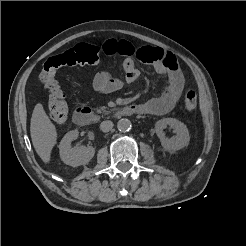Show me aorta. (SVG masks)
<instances>
[{
	"mask_svg": "<svg viewBox=\"0 0 246 246\" xmlns=\"http://www.w3.org/2000/svg\"><path fill=\"white\" fill-rule=\"evenodd\" d=\"M132 127L131 121L129 119L123 118L117 122V128L120 132H128Z\"/></svg>",
	"mask_w": 246,
	"mask_h": 246,
	"instance_id": "aorta-1",
	"label": "aorta"
}]
</instances>
